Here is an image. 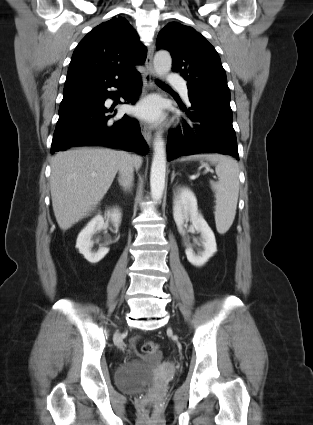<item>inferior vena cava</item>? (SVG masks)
I'll use <instances>...</instances> for the list:
<instances>
[{
  "instance_id": "602c4592",
  "label": "inferior vena cava",
  "mask_w": 313,
  "mask_h": 425,
  "mask_svg": "<svg viewBox=\"0 0 313 425\" xmlns=\"http://www.w3.org/2000/svg\"><path fill=\"white\" fill-rule=\"evenodd\" d=\"M134 160L131 156L125 157L119 165V180L125 190L130 189L133 183Z\"/></svg>"
}]
</instances>
